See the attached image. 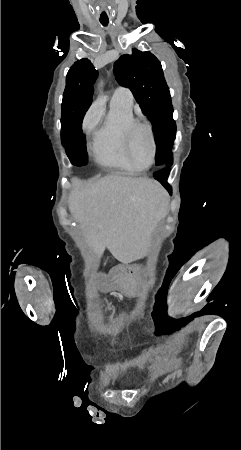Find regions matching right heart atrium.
I'll return each instance as SVG.
<instances>
[{"instance_id": "d8ad5b80", "label": "right heart atrium", "mask_w": 241, "mask_h": 450, "mask_svg": "<svg viewBox=\"0 0 241 450\" xmlns=\"http://www.w3.org/2000/svg\"><path fill=\"white\" fill-rule=\"evenodd\" d=\"M100 124L99 116H88L87 121L84 123V128L86 130H95L97 125Z\"/></svg>"}]
</instances>
